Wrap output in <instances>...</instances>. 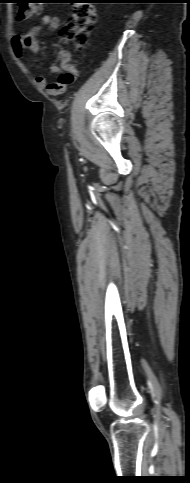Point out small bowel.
<instances>
[{
  "label": "small bowel",
  "mask_w": 190,
  "mask_h": 483,
  "mask_svg": "<svg viewBox=\"0 0 190 483\" xmlns=\"http://www.w3.org/2000/svg\"><path fill=\"white\" fill-rule=\"evenodd\" d=\"M42 25H48L52 30H58L60 27V19L58 17H53L50 15L43 16L41 20ZM39 27H35L28 31L25 34L18 33L15 34L11 39V49L13 54L17 58H22L24 51L28 50L31 53H36L39 49V41L37 38ZM70 56L67 53L62 54V66L66 71L71 72L72 74H77V69L69 64ZM35 81L38 86L42 88H46L49 94L57 95L61 93L62 90L56 89V83H49L47 78L44 75H37L35 77Z\"/></svg>",
  "instance_id": "1"
}]
</instances>
